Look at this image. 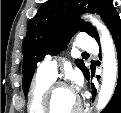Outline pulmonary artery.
<instances>
[{"label": "pulmonary artery", "instance_id": "pulmonary-artery-1", "mask_svg": "<svg viewBox=\"0 0 121 113\" xmlns=\"http://www.w3.org/2000/svg\"><path fill=\"white\" fill-rule=\"evenodd\" d=\"M79 49L83 51H94L96 49L94 39L88 35L80 36ZM57 67V59L47 58L40 63L38 73L54 80L57 77Z\"/></svg>", "mask_w": 121, "mask_h": 113}]
</instances>
